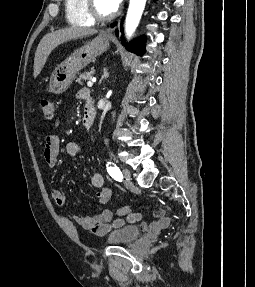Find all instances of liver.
Instances as JSON below:
<instances>
[{
    "label": "liver",
    "instance_id": "liver-1",
    "mask_svg": "<svg viewBox=\"0 0 255 287\" xmlns=\"http://www.w3.org/2000/svg\"><path fill=\"white\" fill-rule=\"evenodd\" d=\"M98 30L94 28H63L57 32L46 34L39 42L34 58V78L39 76L42 68L46 64V60L54 48L64 44V42H71V40H79V38H86V36H93L97 34Z\"/></svg>",
    "mask_w": 255,
    "mask_h": 287
}]
</instances>
